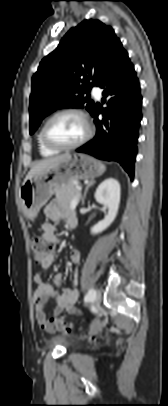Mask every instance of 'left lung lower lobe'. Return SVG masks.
I'll return each instance as SVG.
<instances>
[{"instance_id": "left-lung-lower-lobe-1", "label": "left lung lower lobe", "mask_w": 168, "mask_h": 406, "mask_svg": "<svg viewBox=\"0 0 168 406\" xmlns=\"http://www.w3.org/2000/svg\"><path fill=\"white\" fill-rule=\"evenodd\" d=\"M99 87L104 90L102 102H106V97L110 98L108 107L103 110L96 105L92 113L96 136L76 151L117 161L133 179L142 97L134 66L125 50L118 54ZM99 114L104 116L102 121L98 119ZM107 119L112 121L110 126Z\"/></svg>"}]
</instances>
